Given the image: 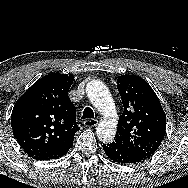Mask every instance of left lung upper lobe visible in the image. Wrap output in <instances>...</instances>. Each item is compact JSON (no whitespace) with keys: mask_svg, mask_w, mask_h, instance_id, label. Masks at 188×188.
<instances>
[{"mask_svg":"<svg viewBox=\"0 0 188 188\" xmlns=\"http://www.w3.org/2000/svg\"><path fill=\"white\" fill-rule=\"evenodd\" d=\"M117 88L124 111L119 117L114 143L149 158L165 136L166 115L161 103L141 77L121 75Z\"/></svg>","mask_w":188,"mask_h":188,"instance_id":"5c2ea615","label":"left lung upper lobe"}]
</instances>
